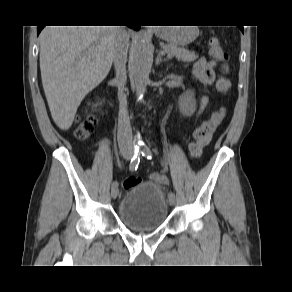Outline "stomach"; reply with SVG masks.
Wrapping results in <instances>:
<instances>
[{"label": "stomach", "instance_id": "stomach-1", "mask_svg": "<svg viewBox=\"0 0 292 292\" xmlns=\"http://www.w3.org/2000/svg\"><path fill=\"white\" fill-rule=\"evenodd\" d=\"M157 34L169 44L183 46L192 42L198 35L196 27H166Z\"/></svg>", "mask_w": 292, "mask_h": 292}]
</instances>
